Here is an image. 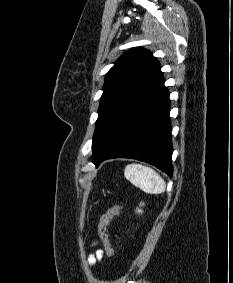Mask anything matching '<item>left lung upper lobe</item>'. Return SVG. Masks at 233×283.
I'll use <instances>...</instances> for the list:
<instances>
[{
    "instance_id": "left-lung-upper-lobe-1",
    "label": "left lung upper lobe",
    "mask_w": 233,
    "mask_h": 283,
    "mask_svg": "<svg viewBox=\"0 0 233 283\" xmlns=\"http://www.w3.org/2000/svg\"><path fill=\"white\" fill-rule=\"evenodd\" d=\"M159 69L157 59L141 48L125 52L115 62L105 77L92 141L93 153L102 146Z\"/></svg>"
}]
</instances>
